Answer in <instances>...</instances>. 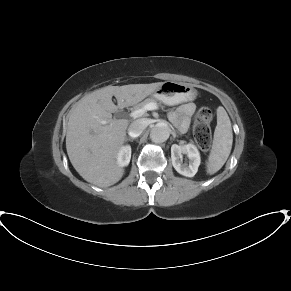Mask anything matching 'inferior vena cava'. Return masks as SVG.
I'll use <instances>...</instances> for the list:
<instances>
[{"mask_svg":"<svg viewBox=\"0 0 291 291\" xmlns=\"http://www.w3.org/2000/svg\"><path fill=\"white\" fill-rule=\"evenodd\" d=\"M149 124L150 121L147 118L133 121L128 128L129 136L132 138L138 137Z\"/></svg>","mask_w":291,"mask_h":291,"instance_id":"602c4592","label":"inferior vena cava"}]
</instances>
